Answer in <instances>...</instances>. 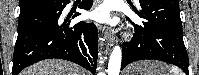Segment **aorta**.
I'll return each mask as SVG.
<instances>
[{
  "instance_id": "obj_1",
  "label": "aorta",
  "mask_w": 199,
  "mask_h": 75,
  "mask_svg": "<svg viewBox=\"0 0 199 75\" xmlns=\"http://www.w3.org/2000/svg\"><path fill=\"white\" fill-rule=\"evenodd\" d=\"M122 52L119 46H115L110 55L108 64V75H119L121 67Z\"/></svg>"
}]
</instances>
